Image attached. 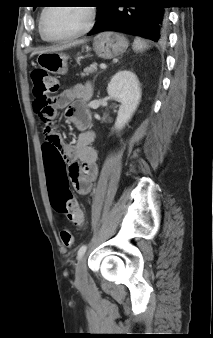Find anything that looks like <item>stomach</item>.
Returning a JSON list of instances; mask_svg holds the SVG:
<instances>
[{"label":"stomach","instance_id":"obj_1","mask_svg":"<svg viewBox=\"0 0 213 338\" xmlns=\"http://www.w3.org/2000/svg\"><path fill=\"white\" fill-rule=\"evenodd\" d=\"M127 39L119 33L104 32L93 39V50L96 55L103 59H112L122 55L128 48ZM66 54L62 52L41 53L36 61L41 69L52 73L63 75L67 72Z\"/></svg>","mask_w":213,"mask_h":338}]
</instances>
